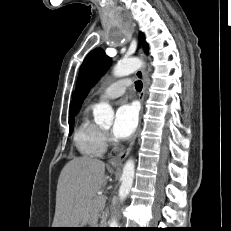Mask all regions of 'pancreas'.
<instances>
[{
    "label": "pancreas",
    "mask_w": 231,
    "mask_h": 231,
    "mask_svg": "<svg viewBox=\"0 0 231 231\" xmlns=\"http://www.w3.org/2000/svg\"><path fill=\"white\" fill-rule=\"evenodd\" d=\"M101 198H102L101 196H96L93 200V206L95 207L97 212H102L103 210V204L101 202Z\"/></svg>",
    "instance_id": "obj_1"
}]
</instances>
